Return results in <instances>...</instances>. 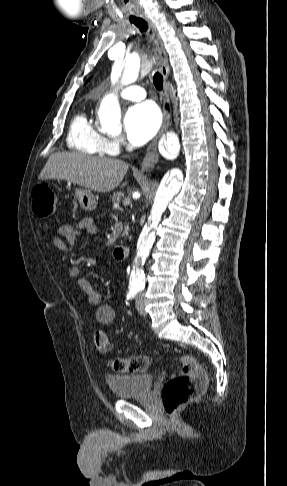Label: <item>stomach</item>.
<instances>
[{"instance_id": "0dacf381", "label": "stomach", "mask_w": 287, "mask_h": 486, "mask_svg": "<svg viewBox=\"0 0 287 486\" xmlns=\"http://www.w3.org/2000/svg\"><path fill=\"white\" fill-rule=\"evenodd\" d=\"M74 191L76 199L84 210L92 211L96 208L97 200L90 189L78 187Z\"/></svg>"}]
</instances>
